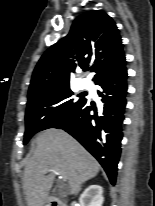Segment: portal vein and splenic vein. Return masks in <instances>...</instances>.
<instances>
[{"label": "portal vein and splenic vein", "mask_w": 155, "mask_h": 206, "mask_svg": "<svg viewBox=\"0 0 155 206\" xmlns=\"http://www.w3.org/2000/svg\"><path fill=\"white\" fill-rule=\"evenodd\" d=\"M46 171H47V172H49V171H51V170H50V169H46ZM57 173L60 175V178H62V179H63V181H66V180H67L66 176H65V175H63V173H62V172L57 171Z\"/></svg>", "instance_id": "18ae733b"}]
</instances>
